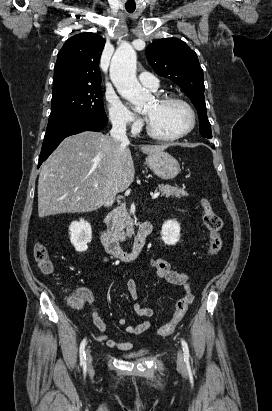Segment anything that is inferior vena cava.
<instances>
[{
	"mask_svg": "<svg viewBox=\"0 0 272 411\" xmlns=\"http://www.w3.org/2000/svg\"><path fill=\"white\" fill-rule=\"evenodd\" d=\"M110 135L115 141L120 143V146H126L127 144H129V140L126 135V123L124 121H113Z\"/></svg>",
	"mask_w": 272,
	"mask_h": 411,
	"instance_id": "1",
	"label": "inferior vena cava"
}]
</instances>
